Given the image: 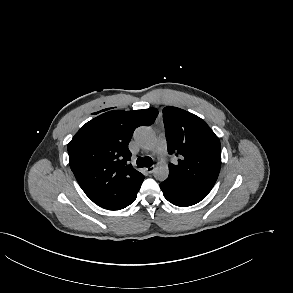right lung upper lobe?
I'll use <instances>...</instances> for the list:
<instances>
[{
	"instance_id": "right-lung-upper-lobe-1",
	"label": "right lung upper lobe",
	"mask_w": 293,
	"mask_h": 293,
	"mask_svg": "<svg viewBox=\"0 0 293 293\" xmlns=\"http://www.w3.org/2000/svg\"><path fill=\"white\" fill-rule=\"evenodd\" d=\"M155 108L108 111L87 122L68 144L69 164L85 194L98 206L120 210L130 205L144 175L130 164L134 130L154 123Z\"/></svg>"
}]
</instances>
